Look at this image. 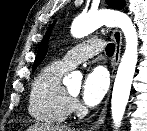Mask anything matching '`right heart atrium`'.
I'll use <instances>...</instances> for the list:
<instances>
[{
    "label": "right heart atrium",
    "instance_id": "right-heart-atrium-1",
    "mask_svg": "<svg viewBox=\"0 0 147 131\" xmlns=\"http://www.w3.org/2000/svg\"><path fill=\"white\" fill-rule=\"evenodd\" d=\"M78 108V103L76 100L71 99L70 101V111H75Z\"/></svg>",
    "mask_w": 147,
    "mask_h": 131
}]
</instances>
